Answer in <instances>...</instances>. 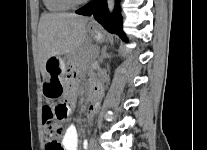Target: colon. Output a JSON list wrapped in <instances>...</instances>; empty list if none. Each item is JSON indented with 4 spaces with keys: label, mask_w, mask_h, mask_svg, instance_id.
Instances as JSON below:
<instances>
[{
    "label": "colon",
    "mask_w": 207,
    "mask_h": 150,
    "mask_svg": "<svg viewBox=\"0 0 207 150\" xmlns=\"http://www.w3.org/2000/svg\"><path fill=\"white\" fill-rule=\"evenodd\" d=\"M68 114L69 108L66 103H53L43 108L42 123L46 150H64L60 137Z\"/></svg>",
    "instance_id": "5ec220e1"
}]
</instances>
